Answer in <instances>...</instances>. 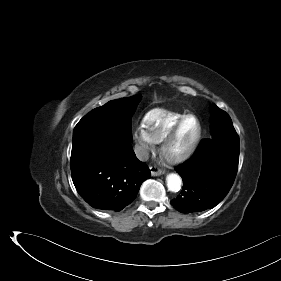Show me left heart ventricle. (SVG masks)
Instances as JSON below:
<instances>
[{
    "label": "left heart ventricle",
    "mask_w": 281,
    "mask_h": 281,
    "mask_svg": "<svg viewBox=\"0 0 281 281\" xmlns=\"http://www.w3.org/2000/svg\"><path fill=\"white\" fill-rule=\"evenodd\" d=\"M198 130L197 121L190 117L182 125L176 139L171 144L169 150L174 153L187 146L195 137Z\"/></svg>",
    "instance_id": "left-heart-ventricle-1"
}]
</instances>
